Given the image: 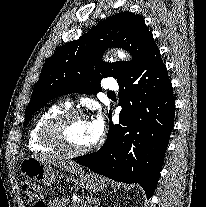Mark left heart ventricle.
Returning a JSON list of instances; mask_svg holds the SVG:
<instances>
[{
    "mask_svg": "<svg viewBox=\"0 0 206 207\" xmlns=\"http://www.w3.org/2000/svg\"><path fill=\"white\" fill-rule=\"evenodd\" d=\"M63 144L72 150H79L92 144L89 122L72 120L59 130Z\"/></svg>",
    "mask_w": 206,
    "mask_h": 207,
    "instance_id": "left-heart-ventricle-1",
    "label": "left heart ventricle"
}]
</instances>
